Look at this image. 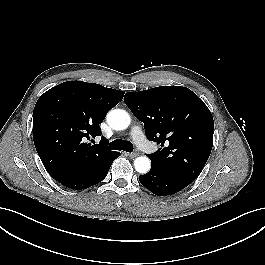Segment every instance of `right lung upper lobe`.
<instances>
[{
	"mask_svg": "<svg viewBox=\"0 0 265 265\" xmlns=\"http://www.w3.org/2000/svg\"><path fill=\"white\" fill-rule=\"evenodd\" d=\"M124 91L83 81H67L45 92L33 111V140L52 177L95 167L115 151L87 140L101 135L99 124L123 98ZM92 140V139H91Z\"/></svg>",
	"mask_w": 265,
	"mask_h": 265,
	"instance_id": "cb5924a9",
	"label": "right lung upper lobe"
}]
</instances>
